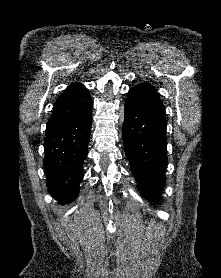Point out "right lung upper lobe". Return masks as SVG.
Masks as SVG:
<instances>
[{"label":"right lung upper lobe","mask_w":221,"mask_h":278,"mask_svg":"<svg viewBox=\"0 0 221 278\" xmlns=\"http://www.w3.org/2000/svg\"><path fill=\"white\" fill-rule=\"evenodd\" d=\"M92 105L89 91L81 83H73L57 99L48 121L46 135L74 121Z\"/></svg>","instance_id":"right-lung-upper-lobe-1"}]
</instances>
